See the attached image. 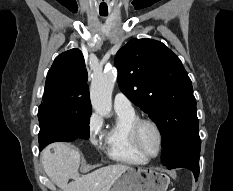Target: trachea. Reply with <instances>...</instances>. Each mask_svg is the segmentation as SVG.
Segmentation results:
<instances>
[{
	"mask_svg": "<svg viewBox=\"0 0 233 191\" xmlns=\"http://www.w3.org/2000/svg\"><path fill=\"white\" fill-rule=\"evenodd\" d=\"M101 15H102V16H107V14H103V13H102Z\"/></svg>",
	"mask_w": 233,
	"mask_h": 191,
	"instance_id": "obj_1",
	"label": "trachea"
}]
</instances>
